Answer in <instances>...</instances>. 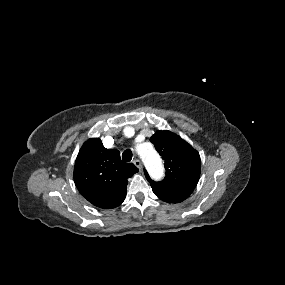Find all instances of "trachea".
<instances>
[{"instance_id":"trachea-1","label":"trachea","mask_w":285,"mask_h":285,"mask_svg":"<svg viewBox=\"0 0 285 285\" xmlns=\"http://www.w3.org/2000/svg\"><path fill=\"white\" fill-rule=\"evenodd\" d=\"M132 156H133V154H132V151L130 149H127L122 153V159L125 162L131 161Z\"/></svg>"}]
</instances>
